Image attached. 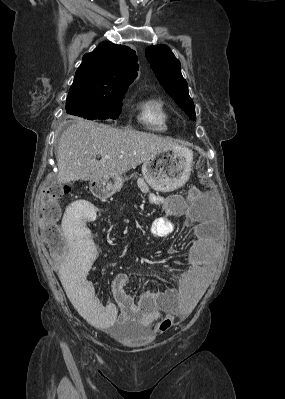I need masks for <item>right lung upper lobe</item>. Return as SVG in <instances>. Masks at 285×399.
<instances>
[{"label": "right lung upper lobe", "instance_id": "cb5924a9", "mask_svg": "<svg viewBox=\"0 0 285 399\" xmlns=\"http://www.w3.org/2000/svg\"><path fill=\"white\" fill-rule=\"evenodd\" d=\"M137 56L127 46L102 42L85 54L69 95L111 96L126 91L137 75Z\"/></svg>", "mask_w": 285, "mask_h": 399}]
</instances>
